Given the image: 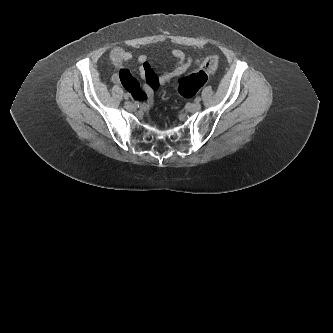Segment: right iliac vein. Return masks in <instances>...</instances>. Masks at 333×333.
I'll list each match as a JSON object with an SVG mask.
<instances>
[{
  "instance_id": "right-iliac-vein-1",
  "label": "right iliac vein",
  "mask_w": 333,
  "mask_h": 333,
  "mask_svg": "<svg viewBox=\"0 0 333 333\" xmlns=\"http://www.w3.org/2000/svg\"><path fill=\"white\" fill-rule=\"evenodd\" d=\"M125 108L129 111H133L135 109V106L131 102L127 101L125 102Z\"/></svg>"
}]
</instances>
